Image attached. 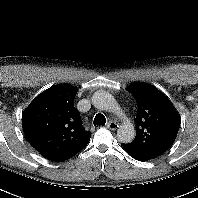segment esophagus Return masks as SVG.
Returning <instances> with one entry per match:
<instances>
[{
  "label": "esophagus",
  "instance_id": "obj_1",
  "mask_svg": "<svg viewBox=\"0 0 198 198\" xmlns=\"http://www.w3.org/2000/svg\"><path fill=\"white\" fill-rule=\"evenodd\" d=\"M106 127L110 130H116L118 129L119 125L115 121H110L107 123Z\"/></svg>",
  "mask_w": 198,
  "mask_h": 198
}]
</instances>
